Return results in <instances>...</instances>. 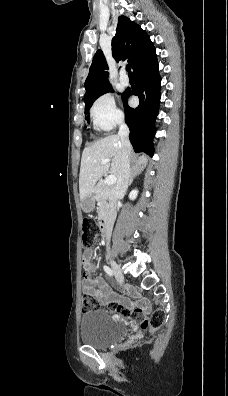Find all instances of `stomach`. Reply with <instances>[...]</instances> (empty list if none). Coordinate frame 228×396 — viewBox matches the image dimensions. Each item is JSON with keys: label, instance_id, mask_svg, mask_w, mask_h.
I'll list each match as a JSON object with an SVG mask.
<instances>
[{"label": "stomach", "instance_id": "stomach-1", "mask_svg": "<svg viewBox=\"0 0 228 396\" xmlns=\"http://www.w3.org/2000/svg\"><path fill=\"white\" fill-rule=\"evenodd\" d=\"M95 192L88 194L81 200V208L84 212L89 213L95 207Z\"/></svg>", "mask_w": 228, "mask_h": 396}]
</instances>
